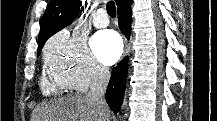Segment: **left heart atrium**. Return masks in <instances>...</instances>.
I'll return each mask as SVG.
<instances>
[{
	"mask_svg": "<svg viewBox=\"0 0 217 121\" xmlns=\"http://www.w3.org/2000/svg\"><path fill=\"white\" fill-rule=\"evenodd\" d=\"M91 47L99 61L106 65L114 63L122 53L121 39L111 30L97 32L91 41Z\"/></svg>",
	"mask_w": 217,
	"mask_h": 121,
	"instance_id": "obj_1",
	"label": "left heart atrium"
}]
</instances>
